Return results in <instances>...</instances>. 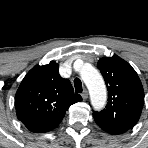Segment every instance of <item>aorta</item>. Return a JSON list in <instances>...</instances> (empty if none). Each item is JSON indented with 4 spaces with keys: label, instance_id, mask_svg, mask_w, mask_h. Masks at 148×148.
Segmentation results:
<instances>
[{
    "label": "aorta",
    "instance_id": "aorta-1",
    "mask_svg": "<svg viewBox=\"0 0 148 148\" xmlns=\"http://www.w3.org/2000/svg\"><path fill=\"white\" fill-rule=\"evenodd\" d=\"M80 74L89 90L92 106L97 110L102 109L106 104L107 92L101 74L90 64H83Z\"/></svg>",
    "mask_w": 148,
    "mask_h": 148
}]
</instances>
